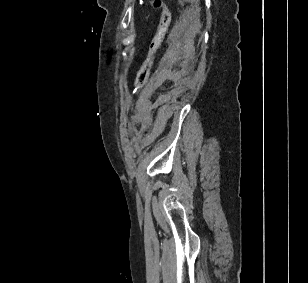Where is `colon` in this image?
Returning <instances> with one entry per match:
<instances>
[{"label":"colon","mask_w":308,"mask_h":283,"mask_svg":"<svg viewBox=\"0 0 308 283\" xmlns=\"http://www.w3.org/2000/svg\"><path fill=\"white\" fill-rule=\"evenodd\" d=\"M150 6L155 9L160 11V17H159V22L157 25V30L156 33L151 41L150 47H149V52L147 54L146 59L144 60L143 64L141 65L140 69L137 72L136 78H135V88L138 90L143 87L145 82L147 81L153 62H154V57L159 49L170 24L171 20V14L168 9V7L163 3L162 0H152L150 3Z\"/></svg>","instance_id":"5ec220e1"}]
</instances>
